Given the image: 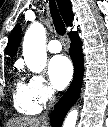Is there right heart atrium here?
<instances>
[{
  "instance_id": "right-heart-atrium-1",
  "label": "right heart atrium",
  "mask_w": 108,
  "mask_h": 127,
  "mask_svg": "<svg viewBox=\"0 0 108 127\" xmlns=\"http://www.w3.org/2000/svg\"><path fill=\"white\" fill-rule=\"evenodd\" d=\"M30 91L39 105H44L55 96V91L46 79L39 74L31 75L28 80Z\"/></svg>"
}]
</instances>
